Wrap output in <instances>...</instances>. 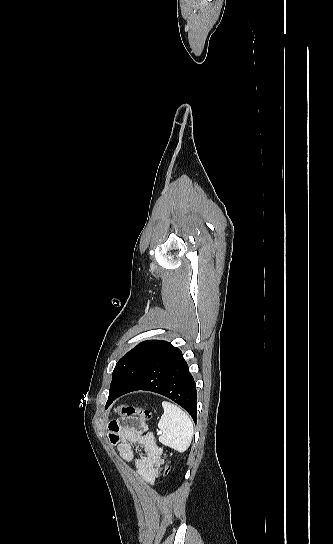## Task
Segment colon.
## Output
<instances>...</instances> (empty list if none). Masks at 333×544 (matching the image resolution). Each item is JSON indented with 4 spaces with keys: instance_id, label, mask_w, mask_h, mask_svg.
I'll use <instances>...</instances> for the list:
<instances>
[{
    "instance_id": "obj_1",
    "label": "colon",
    "mask_w": 333,
    "mask_h": 544,
    "mask_svg": "<svg viewBox=\"0 0 333 544\" xmlns=\"http://www.w3.org/2000/svg\"><path fill=\"white\" fill-rule=\"evenodd\" d=\"M115 413L127 417V418H136L139 419L141 422H147L152 420V412L148 409L139 408L133 405L128 404H121L115 407ZM166 457H168V454H166ZM169 462L168 460L165 461V463H162L157 468V473L161 477H165L169 473Z\"/></svg>"
}]
</instances>
